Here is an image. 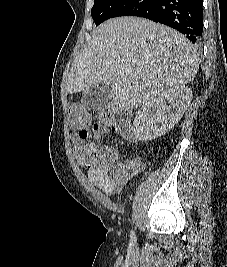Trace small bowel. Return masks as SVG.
Listing matches in <instances>:
<instances>
[{
  "label": "small bowel",
  "instance_id": "obj_1",
  "mask_svg": "<svg viewBox=\"0 0 227 267\" xmlns=\"http://www.w3.org/2000/svg\"><path fill=\"white\" fill-rule=\"evenodd\" d=\"M111 130L121 133L119 126H112ZM108 131L106 127L99 123H94L84 128H78L73 137V154L75 160L87 170L88 179L105 192H110L111 188L121 184L131 176L136 174L140 167L135 161H128L121 164L110 176L108 174L109 151H100L98 140ZM97 141H90L91 137Z\"/></svg>",
  "mask_w": 227,
  "mask_h": 267
}]
</instances>
